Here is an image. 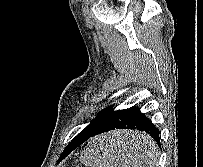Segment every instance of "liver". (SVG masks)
Masks as SVG:
<instances>
[{
	"label": "liver",
	"mask_w": 203,
	"mask_h": 167,
	"mask_svg": "<svg viewBox=\"0 0 203 167\" xmlns=\"http://www.w3.org/2000/svg\"><path fill=\"white\" fill-rule=\"evenodd\" d=\"M141 133H138L136 131H116L111 134H108V138L115 137V143L116 144H123V143H135L134 139L135 137ZM117 152L119 153L120 159L121 160H126L129 162V164L136 167L142 166L144 163L140 161L141 159L138 158L139 156L137 155L136 151L133 149H128V148H116Z\"/></svg>",
	"instance_id": "liver-1"
}]
</instances>
